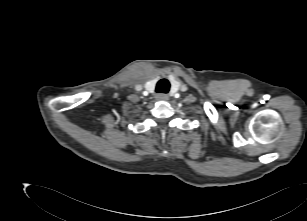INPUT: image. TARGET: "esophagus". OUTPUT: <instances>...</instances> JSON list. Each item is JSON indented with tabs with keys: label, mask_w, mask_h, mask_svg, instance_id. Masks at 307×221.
Returning <instances> with one entry per match:
<instances>
[{
	"label": "esophagus",
	"mask_w": 307,
	"mask_h": 221,
	"mask_svg": "<svg viewBox=\"0 0 307 221\" xmlns=\"http://www.w3.org/2000/svg\"><path fill=\"white\" fill-rule=\"evenodd\" d=\"M156 99L159 101H167L169 96L167 94L160 93L156 95Z\"/></svg>",
	"instance_id": "34e87169"
}]
</instances>
